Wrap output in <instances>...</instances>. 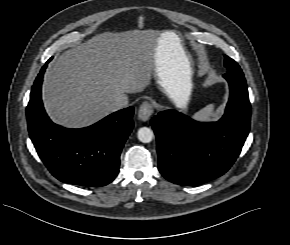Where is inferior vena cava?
I'll use <instances>...</instances> for the list:
<instances>
[{"label": "inferior vena cava", "mask_w": 290, "mask_h": 245, "mask_svg": "<svg viewBox=\"0 0 290 245\" xmlns=\"http://www.w3.org/2000/svg\"><path fill=\"white\" fill-rule=\"evenodd\" d=\"M127 105H128V100L123 97L117 98L113 103V106L116 110L125 108Z\"/></svg>", "instance_id": "obj_1"}]
</instances>
